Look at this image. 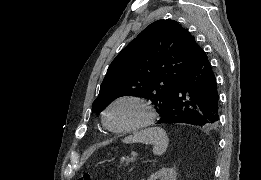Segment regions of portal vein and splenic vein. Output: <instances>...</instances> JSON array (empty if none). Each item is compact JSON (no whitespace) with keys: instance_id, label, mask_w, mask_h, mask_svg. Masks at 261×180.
I'll return each mask as SVG.
<instances>
[{"instance_id":"obj_1","label":"portal vein and splenic vein","mask_w":261,"mask_h":180,"mask_svg":"<svg viewBox=\"0 0 261 180\" xmlns=\"http://www.w3.org/2000/svg\"><path fill=\"white\" fill-rule=\"evenodd\" d=\"M130 160H131V161H136V160H138V153H133V152H132L131 157H130Z\"/></svg>"}]
</instances>
